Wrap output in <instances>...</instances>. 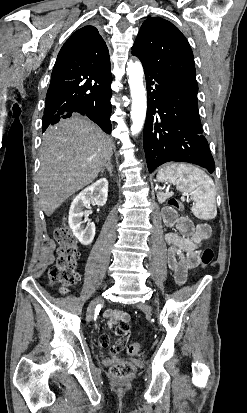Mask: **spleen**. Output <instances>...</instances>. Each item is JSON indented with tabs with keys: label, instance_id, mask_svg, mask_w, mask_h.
<instances>
[{
	"label": "spleen",
	"instance_id": "1",
	"mask_svg": "<svg viewBox=\"0 0 247 413\" xmlns=\"http://www.w3.org/2000/svg\"><path fill=\"white\" fill-rule=\"evenodd\" d=\"M157 180L161 182H174L176 188L181 192H190L191 198L196 200L194 204V213H198L200 204H203V213L205 217H212V213H216V200H215V184L204 170L192 166V168H180L176 176H172L168 166H163L158 170Z\"/></svg>",
	"mask_w": 247,
	"mask_h": 413
}]
</instances>
